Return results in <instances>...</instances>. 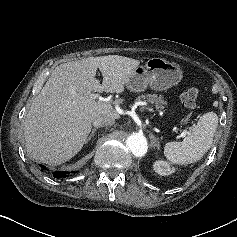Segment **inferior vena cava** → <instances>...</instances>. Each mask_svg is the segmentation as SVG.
<instances>
[{"mask_svg": "<svg viewBox=\"0 0 237 237\" xmlns=\"http://www.w3.org/2000/svg\"><path fill=\"white\" fill-rule=\"evenodd\" d=\"M115 123V119L110 116H98L94 121L95 127L111 126Z\"/></svg>", "mask_w": 237, "mask_h": 237, "instance_id": "1", "label": "inferior vena cava"}]
</instances>
